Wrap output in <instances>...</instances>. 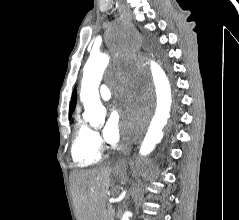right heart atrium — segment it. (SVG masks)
Returning <instances> with one entry per match:
<instances>
[{"label": "right heart atrium", "instance_id": "d8ad5b80", "mask_svg": "<svg viewBox=\"0 0 239 220\" xmlns=\"http://www.w3.org/2000/svg\"><path fill=\"white\" fill-rule=\"evenodd\" d=\"M94 141L97 144V146L101 145V139H100V136L97 132H94Z\"/></svg>", "mask_w": 239, "mask_h": 220}]
</instances>
